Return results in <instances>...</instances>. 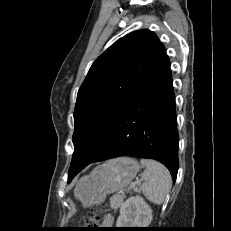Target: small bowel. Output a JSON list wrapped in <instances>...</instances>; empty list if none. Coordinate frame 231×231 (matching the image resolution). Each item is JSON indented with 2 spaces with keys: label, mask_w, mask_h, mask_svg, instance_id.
<instances>
[{
  "label": "small bowel",
  "mask_w": 231,
  "mask_h": 231,
  "mask_svg": "<svg viewBox=\"0 0 231 231\" xmlns=\"http://www.w3.org/2000/svg\"><path fill=\"white\" fill-rule=\"evenodd\" d=\"M112 226H113V218L111 216L106 217L102 225L104 231H107V229H109Z\"/></svg>",
  "instance_id": "1"
}]
</instances>
